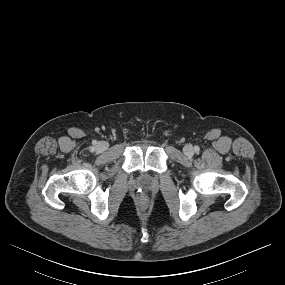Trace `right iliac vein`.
Returning a JSON list of instances; mask_svg holds the SVG:
<instances>
[{"label":"right iliac vein","instance_id":"63e3f726","mask_svg":"<svg viewBox=\"0 0 285 285\" xmlns=\"http://www.w3.org/2000/svg\"><path fill=\"white\" fill-rule=\"evenodd\" d=\"M107 148H108V144H107L106 142H99V143L97 144V147H96L97 151H99V152H103V151H105Z\"/></svg>","mask_w":285,"mask_h":285}]
</instances>
